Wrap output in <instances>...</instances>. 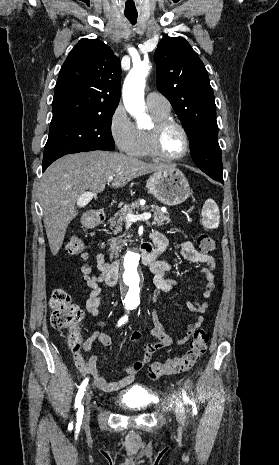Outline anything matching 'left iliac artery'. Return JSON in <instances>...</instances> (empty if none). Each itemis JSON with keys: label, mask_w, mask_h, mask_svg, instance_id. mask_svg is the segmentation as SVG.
<instances>
[{"label": "left iliac artery", "mask_w": 279, "mask_h": 465, "mask_svg": "<svg viewBox=\"0 0 279 465\" xmlns=\"http://www.w3.org/2000/svg\"><path fill=\"white\" fill-rule=\"evenodd\" d=\"M183 399H184V401H185L186 403H191V404H193V402H192L191 400H189V398H188V396H187V394H186V392H185L184 390H183Z\"/></svg>", "instance_id": "obj_1"}]
</instances>
